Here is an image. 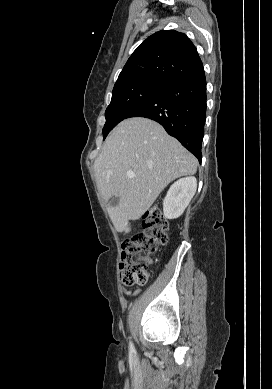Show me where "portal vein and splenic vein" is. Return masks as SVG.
I'll list each match as a JSON object with an SVG mask.
<instances>
[{
  "label": "portal vein and splenic vein",
  "mask_w": 272,
  "mask_h": 389,
  "mask_svg": "<svg viewBox=\"0 0 272 389\" xmlns=\"http://www.w3.org/2000/svg\"><path fill=\"white\" fill-rule=\"evenodd\" d=\"M127 176L130 177V178H133L135 176L134 172H127Z\"/></svg>",
  "instance_id": "portal-vein-and-splenic-vein-1"
}]
</instances>
